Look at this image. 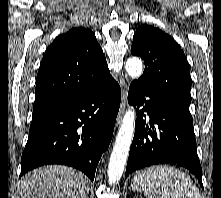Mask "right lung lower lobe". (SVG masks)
Instances as JSON below:
<instances>
[{
    "label": "right lung lower lobe",
    "mask_w": 221,
    "mask_h": 198,
    "mask_svg": "<svg viewBox=\"0 0 221 198\" xmlns=\"http://www.w3.org/2000/svg\"><path fill=\"white\" fill-rule=\"evenodd\" d=\"M120 101V86L112 78L32 119L20 177L42 165L62 164L79 169L93 181L101 155L109 147Z\"/></svg>",
    "instance_id": "98d812e1"
}]
</instances>
